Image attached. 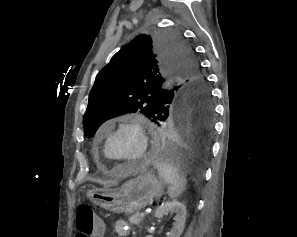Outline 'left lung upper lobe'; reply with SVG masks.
<instances>
[{
	"label": "left lung upper lobe",
	"instance_id": "obj_1",
	"mask_svg": "<svg viewBox=\"0 0 297 237\" xmlns=\"http://www.w3.org/2000/svg\"><path fill=\"white\" fill-rule=\"evenodd\" d=\"M210 101L191 48L174 33L139 35L96 76L83 118L90 138L106 120L141 112L159 125L174 104Z\"/></svg>",
	"mask_w": 297,
	"mask_h": 237
}]
</instances>
